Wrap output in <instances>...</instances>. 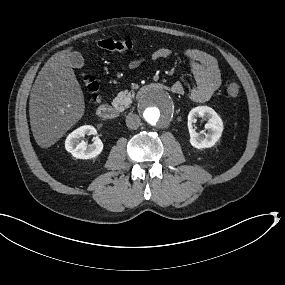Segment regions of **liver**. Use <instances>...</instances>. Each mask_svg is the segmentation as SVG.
<instances>
[{"instance_id":"6515ba94","label":"liver","mask_w":285,"mask_h":285,"mask_svg":"<svg viewBox=\"0 0 285 285\" xmlns=\"http://www.w3.org/2000/svg\"><path fill=\"white\" fill-rule=\"evenodd\" d=\"M73 48L52 55L34 82L29 101L33 137L41 148L55 145L85 113V97L70 59Z\"/></svg>"}]
</instances>
